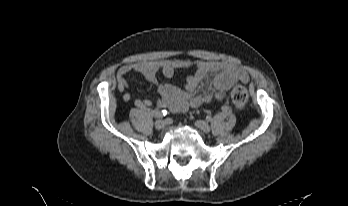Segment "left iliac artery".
Masks as SVG:
<instances>
[{"instance_id":"left-iliac-artery-1","label":"left iliac artery","mask_w":348,"mask_h":206,"mask_svg":"<svg viewBox=\"0 0 348 206\" xmlns=\"http://www.w3.org/2000/svg\"><path fill=\"white\" fill-rule=\"evenodd\" d=\"M222 111L229 113L231 111V108L229 106H222Z\"/></svg>"}]
</instances>
